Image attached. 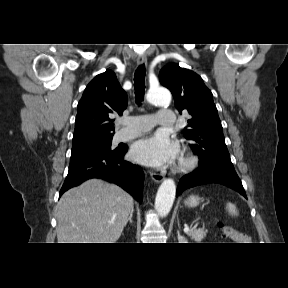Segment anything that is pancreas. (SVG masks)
<instances>
[{"label": "pancreas", "mask_w": 288, "mask_h": 288, "mask_svg": "<svg viewBox=\"0 0 288 288\" xmlns=\"http://www.w3.org/2000/svg\"><path fill=\"white\" fill-rule=\"evenodd\" d=\"M206 233L207 231L204 228L191 229L188 232V236H190L192 240L199 242L205 238Z\"/></svg>", "instance_id": "cf45deb5"}]
</instances>
